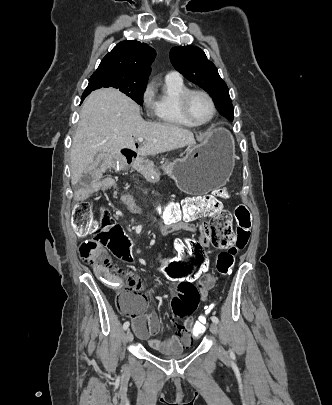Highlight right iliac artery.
<instances>
[{
  "instance_id": "1",
  "label": "right iliac artery",
  "mask_w": 332,
  "mask_h": 405,
  "mask_svg": "<svg viewBox=\"0 0 332 405\" xmlns=\"http://www.w3.org/2000/svg\"><path fill=\"white\" fill-rule=\"evenodd\" d=\"M129 325H130V323H129L128 321H126V322L123 324V329H124V330H127V329L129 328Z\"/></svg>"
}]
</instances>
